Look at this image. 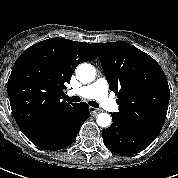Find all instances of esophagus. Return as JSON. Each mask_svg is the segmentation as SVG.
Wrapping results in <instances>:
<instances>
[{
    "label": "esophagus",
    "mask_w": 178,
    "mask_h": 178,
    "mask_svg": "<svg viewBox=\"0 0 178 178\" xmlns=\"http://www.w3.org/2000/svg\"><path fill=\"white\" fill-rule=\"evenodd\" d=\"M100 112H101L100 109H96V108H94V107H90V113H91V115L96 116V115H98Z\"/></svg>",
    "instance_id": "1"
}]
</instances>
